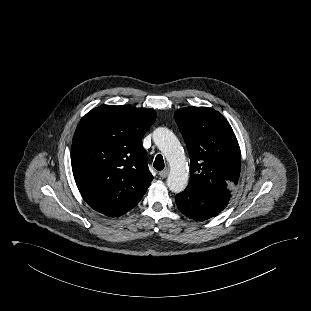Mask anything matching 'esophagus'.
I'll return each mask as SVG.
<instances>
[{
	"mask_svg": "<svg viewBox=\"0 0 311 311\" xmlns=\"http://www.w3.org/2000/svg\"><path fill=\"white\" fill-rule=\"evenodd\" d=\"M168 174H169V169L168 168H165L164 170L159 172V176L161 178H166L168 176Z\"/></svg>",
	"mask_w": 311,
	"mask_h": 311,
	"instance_id": "1",
	"label": "esophagus"
}]
</instances>
